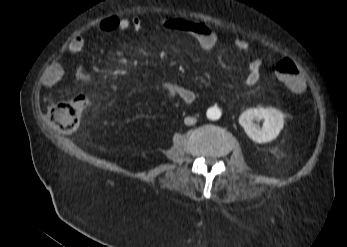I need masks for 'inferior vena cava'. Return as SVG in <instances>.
I'll return each mask as SVG.
<instances>
[{
  "instance_id": "1",
  "label": "inferior vena cava",
  "mask_w": 347,
  "mask_h": 247,
  "mask_svg": "<svg viewBox=\"0 0 347 247\" xmlns=\"http://www.w3.org/2000/svg\"><path fill=\"white\" fill-rule=\"evenodd\" d=\"M197 122V119L196 118H194V117H186L185 119H184V123L186 124V125H194L195 123Z\"/></svg>"
}]
</instances>
